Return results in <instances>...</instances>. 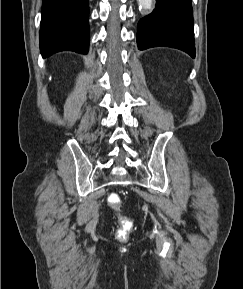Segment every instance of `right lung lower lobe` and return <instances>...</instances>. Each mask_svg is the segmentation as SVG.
Instances as JSON below:
<instances>
[{"label": "right lung lower lobe", "instance_id": "1", "mask_svg": "<svg viewBox=\"0 0 243 289\" xmlns=\"http://www.w3.org/2000/svg\"><path fill=\"white\" fill-rule=\"evenodd\" d=\"M41 13L40 50L44 58L60 51L88 52V0H43Z\"/></svg>", "mask_w": 243, "mask_h": 289}]
</instances>
